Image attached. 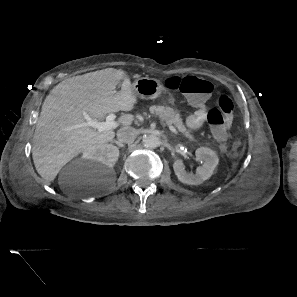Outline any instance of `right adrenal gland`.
Returning <instances> with one entry per match:
<instances>
[{
	"mask_svg": "<svg viewBox=\"0 0 297 297\" xmlns=\"http://www.w3.org/2000/svg\"><path fill=\"white\" fill-rule=\"evenodd\" d=\"M111 143H115L118 147L124 148V144H122L121 142H119L117 140H112Z\"/></svg>",
	"mask_w": 297,
	"mask_h": 297,
	"instance_id": "obj_1",
	"label": "right adrenal gland"
}]
</instances>
